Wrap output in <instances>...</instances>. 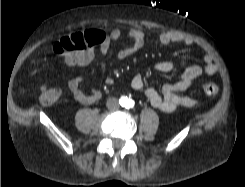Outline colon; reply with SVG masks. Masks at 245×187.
Listing matches in <instances>:
<instances>
[{
    "instance_id": "colon-1",
    "label": "colon",
    "mask_w": 245,
    "mask_h": 187,
    "mask_svg": "<svg viewBox=\"0 0 245 187\" xmlns=\"http://www.w3.org/2000/svg\"><path fill=\"white\" fill-rule=\"evenodd\" d=\"M89 47L91 44L87 41L86 32H77L62 37L54 44L53 51L56 54H65L85 50ZM200 88L206 95L212 97L217 96L220 91L219 86L215 83H203ZM61 95V88L46 83L42 87L40 101L43 105L50 106L57 102Z\"/></svg>"
}]
</instances>
